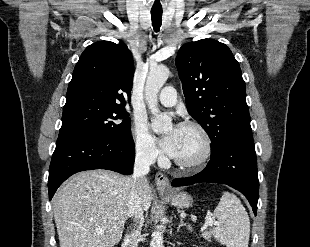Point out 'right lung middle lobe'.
<instances>
[{"mask_svg": "<svg viewBox=\"0 0 310 247\" xmlns=\"http://www.w3.org/2000/svg\"><path fill=\"white\" fill-rule=\"evenodd\" d=\"M130 118L122 108L79 106L63 110L60 133L89 132L113 141L131 136Z\"/></svg>", "mask_w": 310, "mask_h": 247, "instance_id": "right-lung-middle-lobe-1", "label": "right lung middle lobe"}]
</instances>
